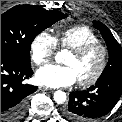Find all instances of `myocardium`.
Here are the masks:
<instances>
[{"instance_id":"1","label":"myocardium","mask_w":122,"mask_h":122,"mask_svg":"<svg viewBox=\"0 0 122 122\" xmlns=\"http://www.w3.org/2000/svg\"><path fill=\"white\" fill-rule=\"evenodd\" d=\"M95 49H98L101 53L100 64L95 73L91 77L84 80H77L78 85L81 87L91 86L95 84L102 77L108 64V57H109L108 48L104 44L98 41L82 45L78 48L71 49V53L78 58L85 56L86 54Z\"/></svg>"}]
</instances>
